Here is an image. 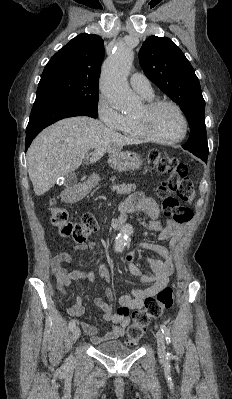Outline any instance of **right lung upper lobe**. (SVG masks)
I'll use <instances>...</instances> for the list:
<instances>
[{"label": "right lung upper lobe", "instance_id": "cb5924a9", "mask_svg": "<svg viewBox=\"0 0 232 399\" xmlns=\"http://www.w3.org/2000/svg\"><path fill=\"white\" fill-rule=\"evenodd\" d=\"M104 53V42L100 36L80 34L51 58L44 68L41 80L64 78L98 85Z\"/></svg>", "mask_w": 232, "mask_h": 399}]
</instances>
